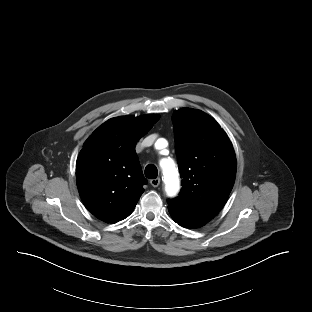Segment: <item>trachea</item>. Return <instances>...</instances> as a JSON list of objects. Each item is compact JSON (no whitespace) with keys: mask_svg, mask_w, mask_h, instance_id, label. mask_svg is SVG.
I'll return each instance as SVG.
<instances>
[{"mask_svg":"<svg viewBox=\"0 0 312 312\" xmlns=\"http://www.w3.org/2000/svg\"><path fill=\"white\" fill-rule=\"evenodd\" d=\"M145 176L150 179H155L158 176V170L155 165L149 164L145 168Z\"/></svg>","mask_w":312,"mask_h":312,"instance_id":"obj_1","label":"trachea"}]
</instances>
